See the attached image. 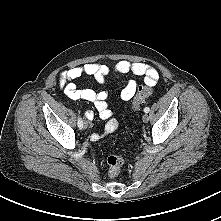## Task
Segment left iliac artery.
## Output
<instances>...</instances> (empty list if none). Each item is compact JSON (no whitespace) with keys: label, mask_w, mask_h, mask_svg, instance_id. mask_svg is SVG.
Here are the masks:
<instances>
[{"label":"left iliac artery","mask_w":221,"mask_h":221,"mask_svg":"<svg viewBox=\"0 0 221 221\" xmlns=\"http://www.w3.org/2000/svg\"><path fill=\"white\" fill-rule=\"evenodd\" d=\"M149 111H150V108H149V107H145V108H144V112H145V113H148Z\"/></svg>","instance_id":"1"}]
</instances>
